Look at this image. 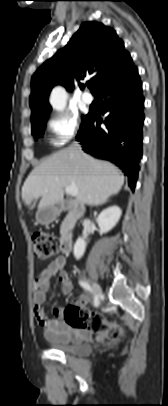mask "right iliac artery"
Returning <instances> with one entry per match:
<instances>
[{
    "mask_svg": "<svg viewBox=\"0 0 168 406\" xmlns=\"http://www.w3.org/2000/svg\"><path fill=\"white\" fill-rule=\"evenodd\" d=\"M79 284H80V286L83 287L85 290H87V291H89V292H93V290H92L91 286L88 284V282L80 280V281H79ZM96 303H97V297L95 296V297H94V304H96Z\"/></svg>",
    "mask_w": 168,
    "mask_h": 406,
    "instance_id": "obj_1",
    "label": "right iliac artery"
}]
</instances>
